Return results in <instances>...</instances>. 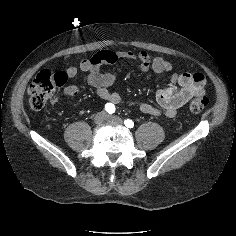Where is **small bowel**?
Instances as JSON below:
<instances>
[{
	"mask_svg": "<svg viewBox=\"0 0 236 236\" xmlns=\"http://www.w3.org/2000/svg\"><path fill=\"white\" fill-rule=\"evenodd\" d=\"M120 60H138L141 71L152 70L157 74L171 73L172 64L162 57H151L145 50L133 51H111L102 50L90 58L80 61L78 67H69L65 70L68 78H73L78 71L87 73V83L94 89L96 95L112 104L123 101L120 94L112 92V86L119 77L122 67L119 66L113 72L102 73L100 67L103 64H115ZM206 78L201 72L172 73L171 84L160 89L156 94L157 106L146 102L128 101L129 106L137 107L141 112L148 115H165L174 117L177 110L184 106L190 99L202 95L205 91ZM80 89L75 85H69L63 89V95L77 96Z\"/></svg>",
	"mask_w": 236,
	"mask_h": 236,
	"instance_id": "small-bowel-1",
	"label": "small bowel"
}]
</instances>
